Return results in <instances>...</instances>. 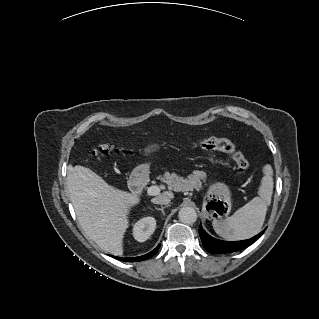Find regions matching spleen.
Returning <instances> with one entry per match:
<instances>
[{"mask_svg": "<svg viewBox=\"0 0 319 319\" xmlns=\"http://www.w3.org/2000/svg\"><path fill=\"white\" fill-rule=\"evenodd\" d=\"M264 177L257 197L238 209L232 216L224 220H214L216 233L226 240H244L256 235L264 224L268 206L273 194V170L270 165L263 169Z\"/></svg>", "mask_w": 319, "mask_h": 319, "instance_id": "1", "label": "spleen"}]
</instances>
